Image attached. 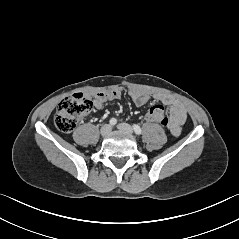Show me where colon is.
<instances>
[{"mask_svg":"<svg viewBox=\"0 0 239 239\" xmlns=\"http://www.w3.org/2000/svg\"><path fill=\"white\" fill-rule=\"evenodd\" d=\"M91 99L82 94L76 93L65 97L58 105L54 122L56 127L64 132H71L77 123L92 110ZM146 120L155 125L165 126V108L160 104H152L146 112Z\"/></svg>","mask_w":239,"mask_h":239,"instance_id":"1","label":"colon"}]
</instances>
